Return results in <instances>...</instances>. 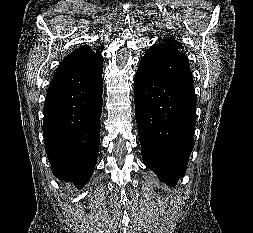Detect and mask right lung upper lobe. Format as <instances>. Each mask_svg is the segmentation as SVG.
Here are the masks:
<instances>
[{
	"label": "right lung upper lobe",
	"mask_w": 253,
	"mask_h": 233,
	"mask_svg": "<svg viewBox=\"0 0 253 233\" xmlns=\"http://www.w3.org/2000/svg\"><path fill=\"white\" fill-rule=\"evenodd\" d=\"M102 62L99 51H93L91 46H82L67 55L56 72L86 71L100 66Z\"/></svg>",
	"instance_id": "obj_1"
}]
</instances>
